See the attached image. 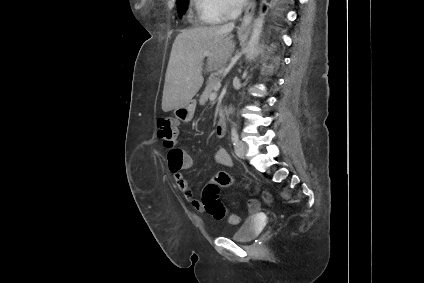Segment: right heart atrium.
<instances>
[{"label": "right heart atrium", "instance_id": "right-heart-atrium-1", "mask_svg": "<svg viewBox=\"0 0 424 283\" xmlns=\"http://www.w3.org/2000/svg\"><path fill=\"white\" fill-rule=\"evenodd\" d=\"M199 15L203 20H224L239 9L238 0H195Z\"/></svg>", "mask_w": 424, "mask_h": 283}]
</instances>
